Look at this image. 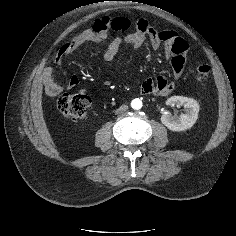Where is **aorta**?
<instances>
[{
    "instance_id": "762f6f07",
    "label": "aorta",
    "mask_w": 236,
    "mask_h": 236,
    "mask_svg": "<svg viewBox=\"0 0 236 236\" xmlns=\"http://www.w3.org/2000/svg\"><path fill=\"white\" fill-rule=\"evenodd\" d=\"M131 107L135 110L142 108V101L139 98L133 99L131 101Z\"/></svg>"
}]
</instances>
